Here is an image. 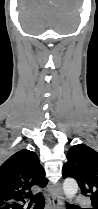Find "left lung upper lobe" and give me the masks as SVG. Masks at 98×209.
I'll list each match as a JSON object with an SVG mask.
<instances>
[{"mask_svg":"<svg viewBox=\"0 0 98 209\" xmlns=\"http://www.w3.org/2000/svg\"><path fill=\"white\" fill-rule=\"evenodd\" d=\"M63 166V177L77 180L81 193L89 196L98 209V152L84 144L72 146Z\"/></svg>","mask_w":98,"mask_h":209,"instance_id":"obj_1","label":"left lung upper lobe"}]
</instances>
